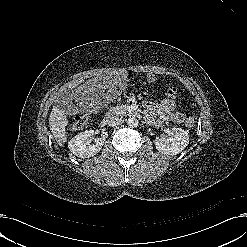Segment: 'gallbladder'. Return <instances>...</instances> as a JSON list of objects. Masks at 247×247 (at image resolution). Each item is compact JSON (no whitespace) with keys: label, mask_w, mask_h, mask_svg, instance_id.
I'll return each mask as SVG.
<instances>
[{"label":"gallbladder","mask_w":247,"mask_h":247,"mask_svg":"<svg viewBox=\"0 0 247 247\" xmlns=\"http://www.w3.org/2000/svg\"><path fill=\"white\" fill-rule=\"evenodd\" d=\"M70 94H71V90L70 89H65V91L61 95V100L64 101V104L62 105L63 106V110L66 113H71V112L74 111V107L71 104L68 103L69 99H70Z\"/></svg>","instance_id":"1"}]
</instances>
